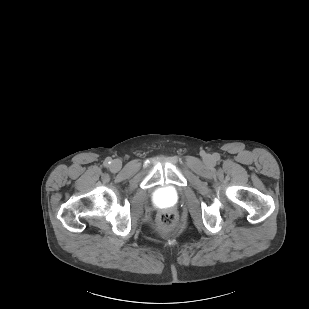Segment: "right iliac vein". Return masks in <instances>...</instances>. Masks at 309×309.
Segmentation results:
<instances>
[{"label":"right iliac vein","mask_w":309,"mask_h":309,"mask_svg":"<svg viewBox=\"0 0 309 309\" xmlns=\"http://www.w3.org/2000/svg\"><path fill=\"white\" fill-rule=\"evenodd\" d=\"M121 167H122V163L119 160L112 161V163L110 165L111 170L114 171V172L119 171L121 169Z\"/></svg>","instance_id":"1"}]
</instances>
